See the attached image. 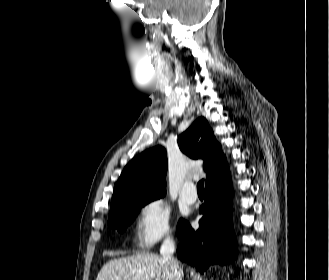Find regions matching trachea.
<instances>
[{
    "instance_id": "trachea-1",
    "label": "trachea",
    "mask_w": 329,
    "mask_h": 280,
    "mask_svg": "<svg viewBox=\"0 0 329 280\" xmlns=\"http://www.w3.org/2000/svg\"><path fill=\"white\" fill-rule=\"evenodd\" d=\"M197 191H204V179H202L198 182Z\"/></svg>"
}]
</instances>
